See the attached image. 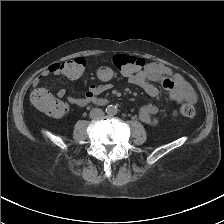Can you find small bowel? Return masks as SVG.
Returning a JSON list of instances; mask_svg holds the SVG:
<instances>
[{"label": "small bowel", "mask_w": 224, "mask_h": 224, "mask_svg": "<svg viewBox=\"0 0 224 224\" xmlns=\"http://www.w3.org/2000/svg\"><path fill=\"white\" fill-rule=\"evenodd\" d=\"M60 62H55L47 66L34 80V87H38L40 82L47 76L61 75L59 70ZM97 78L101 81V84H91L84 97H72L66 95L65 89H59L57 96L60 98L65 97L67 101L73 105L84 107L87 104L94 103L98 96L113 88L112 83V71L108 68L102 67L97 71ZM128 81L140 87L151 97H158L160 90L154 83H159L161 87L168 92L171 101L180 104L183 101L195 102L196 94L192 86L178 73L174 72L170 67L160 62H151L146 67L132 75H127ZM158 112L157 106L153 104H147L138 108V116L140 120L148 125L156 126L159 124V120L154 117ZM178 110L172 111V116L177 117Z\"/></svg>", "instance_id": "1"}]
</instances>
